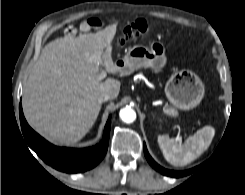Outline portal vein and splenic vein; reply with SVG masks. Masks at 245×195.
<instances>
[{
  "label": "portal vein and splenic vein",
  "instance_id": "1",
  "mask_svg": "<svg viewBox=\"0 0 245 195\" xmlns=\"http://www.w3.org/2000/svg\"><path fill=\"white\" fill-rule=\"evenodd\" d=\"M106 77V72L102 71L100 74H98L97 76V80L101 81L102 79H104Z\"/></svg>",
  "mask_w": 245,
  "mask_h": 195
}]
</instances>
